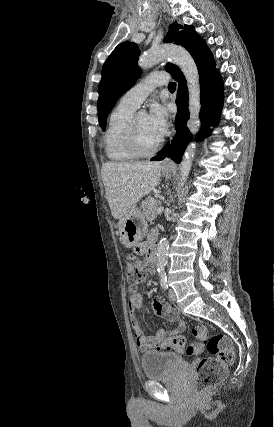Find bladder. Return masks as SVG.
Wrapping results in <instances>:
<instances>
[{"instance_id":"bladder-1","label":"bladder","mask_w":274,"mask_h":427,"mask_svg":"<svg viewBox=\"0 0 274 427\" xmlns=\"http://www.w3.org/2000/svg\"><path fill=\"white\" fill-rule=\"evenodd\" d=\"M141 366L148 380L170 377L179 368V355L176 352L148 350L141 354Z\"/></svg>"}]
</instances>
